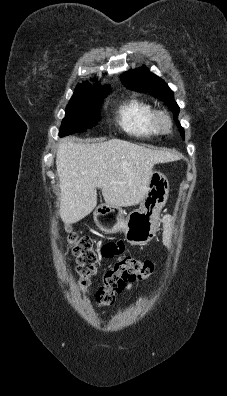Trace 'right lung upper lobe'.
Returning a JSON list of instances; mask_svg holds the SVG:
<instances>
[{"instance_id": "right-lung-upper-lobe-1", "label": "right lung upper lobe", "mask_w": 227, "mask_h": 396, "mask_svg": "<svg viewBox=\"0 0 227 396\" xmlns=\"http://www.w3.org/2000/svg\"><path fill=\"white\" fill-rule=\"evenodd\" d=\"M96 88L90 86L87 82H84L83 84H79L77 87H88V88H92V89H96V90H101V91H106L110 89V86H105L103 88H100L97 84L95 85Z\"/></svg>"}]
</instances>
